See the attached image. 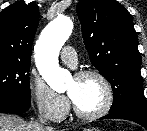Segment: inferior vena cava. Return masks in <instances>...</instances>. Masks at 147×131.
I'll use <instances>...</instances> for the list:
<instances>
[{"label":"inferior vena cava","mask_w":147,"mask_h":131,"mask_svg":"<svg viewBox=\"0 0 147 131\" xmlns=\"http://www.w3.org/2000/svg\"><path fill=\"white\" fill-rule=\"evenodd\" d=\"M39 122L43 126L47 124L46 109L44 107L39 108Z\"/></svg>","instance_id":"inferior-vena-cava-1"}]
</instances>
